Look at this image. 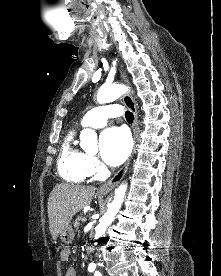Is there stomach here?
<instances>
[{"instance_id": "stomach-1", "label": "stomach", "mask_w": 221, "mask_h": 276, "mask_svg": "<svg viewBox=\"0 0 221 276\" xmlns=\"http://www.w3.org/2000/svg\"><path fill=\"white\" fill-rule=\"evenodd\" d=\"M74 236L75 233L73 231V228L71 225H69L66 227L65 230L60 233V240L65 244H69L73 241Z\"/></svg>"}]
</instances>
